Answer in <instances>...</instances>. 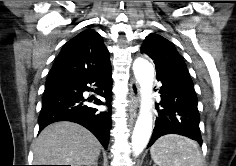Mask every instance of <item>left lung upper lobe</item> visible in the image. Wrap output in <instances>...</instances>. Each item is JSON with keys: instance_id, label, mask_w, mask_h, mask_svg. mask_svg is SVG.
Listing matches in <instances>:
<instances>
[{"instance_id": "left-lung-upper-lobe-1", "label": "left lung upper lobe", "mask_w": 236, "mask_h": 166, "mask_svg": "<svg viewBox=\"0 0 236 166\" xmlns=\"http://www.w3.org/2000/svg\"><path fill=\"white\" fill-rule=\"evenodd\" d=\"M141 53L147 54L153 59L156 72L174 67H186L173 43L155 33H151L145 38Z\"/></svg>"}]
</instances>
